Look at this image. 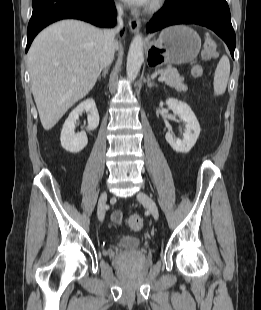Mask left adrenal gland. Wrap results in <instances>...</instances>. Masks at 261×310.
I'll list each match as a JSON object with an SVG mask.
<instances>
[{"instance_id": "a2214340", "label": "left adrenal gland", "mask_w": 261, "mask_h": 310, "mask_svg": "<svg viewBox=\"0 0 261 310\" xmlns=\"http://www.w3.org/2000/svg\"><path fill=\"white\" fill-rule=\"evenodd\" d=\"M147 86H148L149 88L157 87V86H158L156 83H154V82L151 81L149 75L147 76Z\"/></svg>"}]
</instances>
